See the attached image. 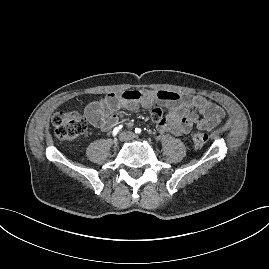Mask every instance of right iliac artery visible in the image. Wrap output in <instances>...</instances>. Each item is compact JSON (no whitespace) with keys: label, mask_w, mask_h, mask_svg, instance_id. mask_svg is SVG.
<instances>
[{"label":"right iliac artery","mask_w":269,"mask_h":269,"mask_svg":"<svg viewBox=\"0 0 269 269\" xmlns=\"http://www.w3.org/2000/svg\"><path fill=\"white\" fill-rule=\"evenodd\" d=\"M121 129H122V125L115 127L112 132L113 136H116Z\"/></svg>","instance_id":"obj_1"}]
</instances>
